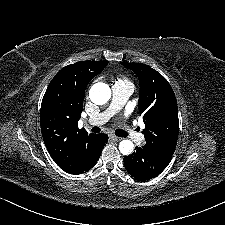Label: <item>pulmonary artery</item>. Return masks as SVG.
Returning <instances> with one entry per match:
<instances>
[{
    "label": "pulmonary artery",
    "instance_id": "obj_1",
    "mask_svg": "<svg viewBox=\"0 0 225 225\" xmlns=\"http://www.w3.org/2000/svg\"><path fill=\"white\" fill-rule=\"evenodd\" d=\"M134 87L131 83L115 82L112 86L113 97L109 108L101 113L90 117L86 123L88 125H102L107 122L111 116L121 108L133 93ZM128 136L134 139L137 143H143L145 136L142 133H137L132 127L127 126L124 130Z\"/></svg>",
    "mask_w": 225,
    "mask_h": 225
}]
</instances>
